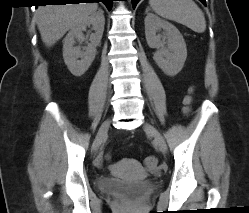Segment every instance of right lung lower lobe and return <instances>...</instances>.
<instances>
[{
	"label": "right lung lower lobe",
	"instance_id": "right-lung-lower-lobe-1",
	"mask_svg": "<svg viewBox=\"0 0 249 213\" xmlns=\"http://www.w3.org/2000/svg\"><path fill=\"white\" fill-rule=\"evenodd\" d=\"M82 1H91V3H93V1L103 2L109 10H111L112 3H113V0H46L45 3L50 2V3L59 5V4H65V3H80Z\"/></svg>",
	"mask_w": 249,
	"mask_h": 213
}]
</instances>
